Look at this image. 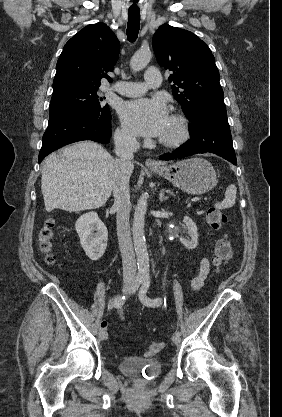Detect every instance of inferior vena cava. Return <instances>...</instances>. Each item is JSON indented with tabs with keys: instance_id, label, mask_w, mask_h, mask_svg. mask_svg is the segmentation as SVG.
I'll return each mask as SVG.
<instances>
[{
	"instance_id": "602c4592",
	"label": "inferior vena cava",
	"mask_w": 282,
	"mask_h": 417,
	"mask_svg": "<svg viewBox=\"0 0 282 417\" xmlns=\"http://www.w3.org/2000/svg\"><path fill=\"white\" fill-rule=\"evenodd\" d=\"M115 154L112 190L114 194V209L117 211V235L119 249L122 257L124 281H136V259L132 245L129 217L131 202L129 196V178L133 172V152L139 148V142L132 134L116 130L114 132Z\"/></svg>"
}]
</instances>
